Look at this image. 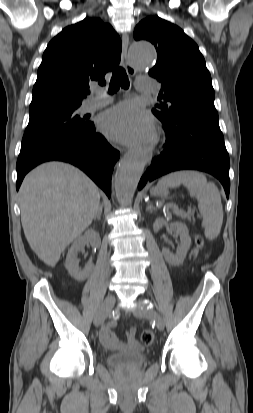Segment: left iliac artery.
<instances>
[{
	"label": "left iliac artery",
	"instance_id": "1",
	"mask_svg": "<svg viewBox=\"0 0 253 413\" xmlns=\"http://www.w3.org/2000/svg\"><path fill=\"white\" fill-rule=\"evenodd\" d=\"M143 303L146 304L149 308H152V307H153L152 303H151L149 300H147V299H145V300L143 301Z\"/></svg>",
	"mask_w": 253,
	"mask_h": 413
}]
</instances>
